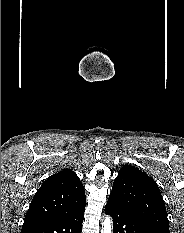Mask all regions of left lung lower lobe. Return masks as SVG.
I'll use <instances>...</instances> for the list:
<instances>
[{
  "mask_svg": "<svg viewBox=\"0 0 184 233\" xmlns=\"http://www.w3.org/2000/svg\"><path fill=\"white\" fill-rule=\"evenodd\" d=\"M105 213L113 218V233H150L138 219L114 200L108 199Z\"/></svg>",
  "mask_w": 184,
  "mask_h": 233,
  "instance_id": "obj_1",
  "label": "left lung lower lobe"
}]
</instances>
